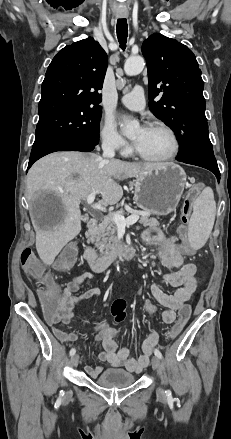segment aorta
<instances>
[{
	"label": "aorta",
	"instance_id": "762f6f07",
	"mask_svg": "<svg viewBox=\"0 0 231 439\" xmlns=\"http://www.w3.org/2000/svg\"><path fill=\"white\" fill-rule=\"evenodd\" d=\"M145 66L144 59L141 56L129 57L124 65V70L127 75H136L140 73ZM139 128V123L135 120L128 121L125 125L124 134L126 136H132ZM119 270V267L117 266Z\"/></svg>",
	"mask_w": 231,
	"mask_h": 439
}]
</instances>
